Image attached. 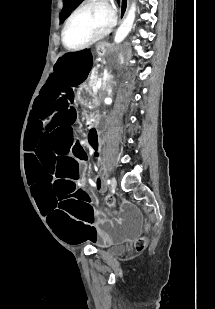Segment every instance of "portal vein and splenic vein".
<instances>
[{
  "instance_id": "obj_1",
  "label": "portal vein and splenic vein",
  "mask_w": 215,
  "mask_h": 309,
  "mask_svg": "<svg viewBox=\"0 0 215 309\" xmlns=\"http://www.w3.org/2000/svg\"><path fill=\"white\" fill-rule=\"evenodd\" d=\"M101 84H102V80H98V82L96 84L97 88H99V86H101Z\"/></svg>"
}]
</instances>
